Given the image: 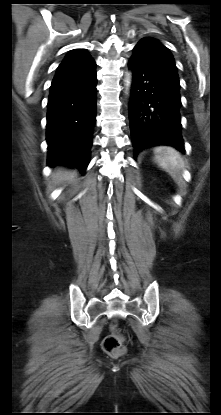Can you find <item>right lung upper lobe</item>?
I'll return each instance as SVG.
<instances>
[{"label":"right lung upper lobe","instance_id":"right-lung-upper-lobe-1","mask_svg":"<svg viewBox=\"0 0 221 415\" xmlns=\"http://www.w3.org/2000/svg\"><path fill=\"white\" fill-rule=\"evenodd\" d=\"M94 60L83 50L71 51L59 65L57 72L70 71L94 65Z\"/></svg>","mask_w":221,"mask_h":415}]
</instances>
